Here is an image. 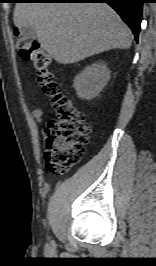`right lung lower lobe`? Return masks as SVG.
<instances>
[{
    "instance_id": "right-lung-lower-lobe-1",
    "label": "right lung lower lobe",
    "mask_w": 156,
    "mask_h": 266,
    "mask_svg": "<svg viewBox=\"0 0 156 266\" xmlns=\"http://www.w3.org/2000/svg\"><path fill=\"white\" fill-rule=\"evenodd\" d=\"M36 3H107L131 28L138 40L144 0H28Z\"/></svg>"
}]
</instances>
